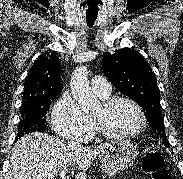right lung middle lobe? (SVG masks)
Listing matches in <instances>:
<instances>
[{
    "instance_id": "right-lung-middle-lobe-1",
    "label": "right lung middle lobe",
    "mask_w": 183,
    "mask_h": 179,
    "mask_svg": "<svg viewBox=\"0 0 183 179\" xmlns=\"http://www.w3.org/2000/svg\"><path fill=\"white\" fill-rule=\"evenodd\" d=\"M55 96L41 97L39 99L22 103L21 119L18 128V137L31 132H41L46 129V113L49 110L51 99Z\"/></svg>"
}]
</instances>
